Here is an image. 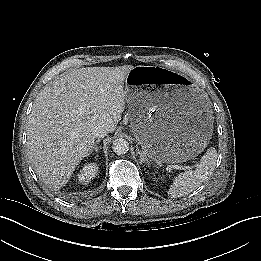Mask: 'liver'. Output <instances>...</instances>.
<instances>
[{
	"label": "liver",
	"instance_id": "6515ba94",
	"mask_svg": "<svg viewBox=\"0 0 261 261\" xmlns=\"http://www.w3.org/2000/svg\"><path fill=\"white\" fill-rule=\"evenodd\" d=\"M132 65L73 69L47 84L36 97L27 126V148L36 173L60 189L89 156L93 127L112 133L125 109L124 81Z\"/></svg>",
	"mask_w": 261,
	"mask_h": 261
}]
</instances>
